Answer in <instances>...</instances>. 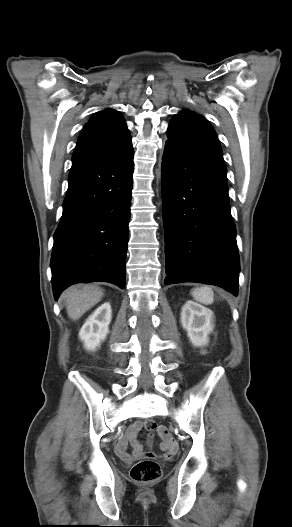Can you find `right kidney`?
<instances>
[{
    "label": "right kidney",
    "instance_id": "right-kidney-1",
    "mask_svg": "<svg viewBox=\"0 0 292 527\" xmlns=\"http://www.w3.org/2000/svg\"><path fill=\"white\" fill-rule=\"evenodd\" d=\"M112 310L109 303L98 307L82 326L79 337L87 350L94 351L109 333Z\"/></svg>",
    "mask_w": 292,
    "mask_h": 527
}]
</instances>
